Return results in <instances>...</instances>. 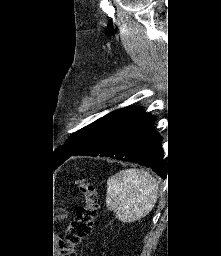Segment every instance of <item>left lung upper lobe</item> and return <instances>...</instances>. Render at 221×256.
Masks as SVG:
<instances>
[{"label": "left lung upper lobe", "mask_w": 221, "mask_h": 256, "mask_svg": "<svg viewBox=\"0 0 221 256\" xmlns=\"http://www.w3.org/2000/svg\"><path fill=\"white\" fill-rule=\"evenodd\" d=\"M136 107H128L123 109H118L116 111L107 114L106 116L96 120L95 122L91 123L90 125L82 128L81 130L77 131L76 133L72 134L66 143L62 146H59L53 156H52V163L54 166L58 167L61 165L66 159L72 156L75 150L92 134H94L97 130H99L107 121L113 120L121 115H124L130 111H132Z\"/></svg>", "instance_id": "left-lung-upper-lobe-1"}]
</instances>
